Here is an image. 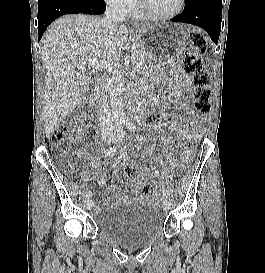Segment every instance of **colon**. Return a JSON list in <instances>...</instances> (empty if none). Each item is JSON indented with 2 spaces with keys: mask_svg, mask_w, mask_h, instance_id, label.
<instances>
[{
  "mask_svg": "<svg viewBox=\"0 0 265 273\" xmlns=\"http://www.w3.org/2000/svg\"><path fill=\"white\" fill-rule=\"evenodd\" d=\"M206 43L203 36L196 31L190 32L188 34V46L183 51V65L185 72L193 75V83L195 86L194 96L196 98V103L194 106V111L200 115H206L211 112V78L207 72L203 69V63L200 55L205 51ZM158 120L157 114L150 113L145 118V123L151 125ZM82 124L86 129L91 128L92 122L88 118L82 120ZM77 122L73 123V126L76 127ZM68 126L65 124L59 125L54 129L50 136L49 140L52 145L57 148V152L60 156H66L69 151V146L67 144V133ZM77 164V156L72 155L66 161V165L72 170H75ZM136 169L133 166H127L125 168V174L127 176H134ZM143 191L152 196L157 195V189L154 186L153 182L146 181L143 185Z\"/></svg>",
  "mask_w": 265,
  "mask_h": 273,
  "instance_id": "1",
  "label": "colon"
}]
</instances>
